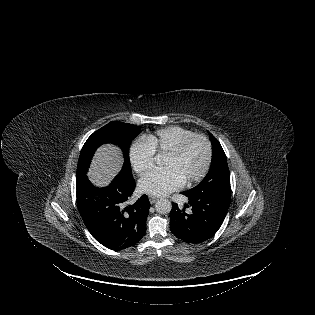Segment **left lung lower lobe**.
I'll return each instance as SVG.
<instances>
[{"instance_id":"1","label":"left lung lower lobe","mask_w":315,"mask_h":315,"mask_svg":"<svg viewBox=\"0 0 315 315\" xmlns=\"http://www.w3.org/2000/svg\"><path fill=\"white\" fill-rule=\"evenodd\" d=\"M182 194L188 197L192 212L187 213L185 209L181 210L173 203L170 213L171 232L177 238L189 243L208 240L222 225L231 198L211 191L199 190H188Z\"/></svg>"}]
</instances>
